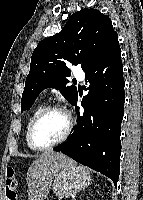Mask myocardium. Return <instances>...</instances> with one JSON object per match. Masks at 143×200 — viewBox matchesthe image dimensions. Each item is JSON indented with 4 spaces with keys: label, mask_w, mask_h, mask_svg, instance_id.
Returning a JSON list of instances; mask_svg holds the SVG:
<instances>
[{
    "label": "myocardium",
    "mask_w": 143,
    "mask_h": 200,
    "mask_svg": "<svg viewBox=\"0 0 143 200\" xmlns=\"http://www.w3.org/2000/svg\"><path fill=\"white\" fill-rule=\"evenodd\" d=\"M53 111H59L62 112L66 118H67V126L66 129L63 133V135L56 141H54L51 144L45 145V146H40L37 145L34 141V137H33V133H34V129L36 127V125L38 124V122L48 113L53 112ZM73 125H74V121H73V117L72 115L69 113V111L62 105L59 104H52V105H48L46 107H44L36 116L35 118L32 120V122L30 123L29 129H28V133H27V138H28V143L30 145V147L34 150H48L51 149L55 146H58L60 144H62L63 142H65L67 140V138L69 137L72 129H73Z\"/></svg>",
    "instance_id": "myocardium-1"
}]
</instances>
